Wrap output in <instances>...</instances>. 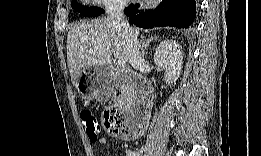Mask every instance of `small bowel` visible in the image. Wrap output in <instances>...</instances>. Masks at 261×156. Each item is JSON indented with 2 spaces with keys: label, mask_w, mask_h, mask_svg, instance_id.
<instances>
[{
  "label": "small bowel",
  "mask_w": 261,
  "mask_h": 156,
  "mask_svg": "<svg viewBox=\"0 0 261 156\" xmlns=\"http://www.w3.org/2000/svg\"><path fill=\"white\" fill-rule=\"evenodd\" d=\"M98 143L100 145H105L107 143V139L105 137H101L98 139Z\"/></svg>",
  "instance_id": "c3829d8e"
}]
</instances>
